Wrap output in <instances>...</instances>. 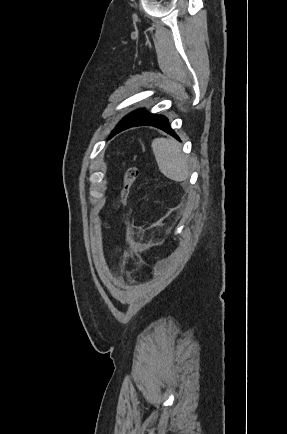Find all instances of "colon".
Wrapping results in <instances>:
<instances>
[{"instance_id": "5ec220e1", "label": "colon", "mask_w": 287, "mask_h": 434, "mask_svg": "<svg viewBox=\"0 0 287 434\" xmlns=\"http://www.w3.org/2000/svg\"><path fill=\"white\" fill-rule=\"evenodd\" d=\"M137 177L138 170L136 167L130 166L125 169L117 186V196L113 200L111 205L112 211H117L120 208L124 198L128 194L130 186L133 184Z\"/></svg>"}]
</instances>
